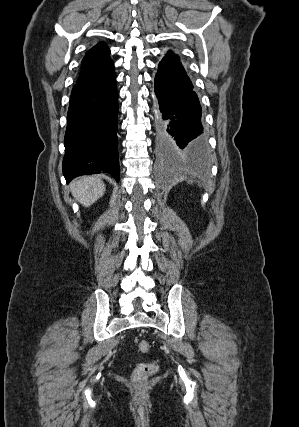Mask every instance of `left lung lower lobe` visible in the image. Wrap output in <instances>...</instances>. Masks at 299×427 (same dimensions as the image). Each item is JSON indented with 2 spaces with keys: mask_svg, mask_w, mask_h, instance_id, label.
<instances>
[{
  "mask_svg": "<svg viewBox=\"0 0 299 427\" xmlns=\"http://www.w3.org/2000/svg\"><path fill=\"white\" fill-rule=\"evenodd\" d=\"M157 150L165 162L191 161L197 171L208 168L201 106L178 55L163 57L155 76Z\"/></svg>",
  "mask_w": 299,
  "mask_h": 427,
  "instance_id": "1",
  "label": "left lung lower lobe"
}]
</instances>
